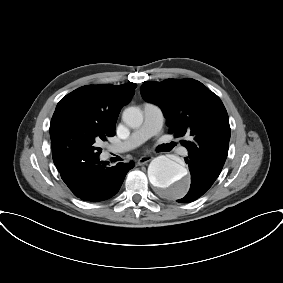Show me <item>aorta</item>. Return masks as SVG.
I'll return each instance as SVG.
<instances>
[{"mask_svg": "<svg viewBox=\"0 0 283 283\" xmlns=\"http://www.w3.org/2000/svg\"><path fill=\"white\" fill-rule=\"evenodd\" d=\"M122 119L131 128L140 127L143 114L138 107H128L123 111ZM151 184L159 189H167L172 198H182L189 189L186 169L172 158L161 155L154 158L148 167Z\"/></svg>", "mask_w": 283, "mask_h": 283, "instance_id": "1", "label": "aorta"}]
</instances>
